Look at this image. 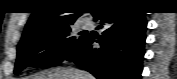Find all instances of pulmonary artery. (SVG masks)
Masks as SVG:
<instances>
[{
  "label": "pulmonary artery",
  "instance_id": "pulmonary-artery-1",
  "mask_svg": "<svg viewBox=\"0 0 177 79\" xmlns=\"http://www.w3.org/2000/svg\"><path fill=\"white\" fill-rule=\"evenodd\" d=\"M90 23H91L90 19H85V20L83 21V26H84V27H88V26L90 25Z\"/></svg>",
  "mask_w": 177,
  "mask_h": 79
}]
</instances>
